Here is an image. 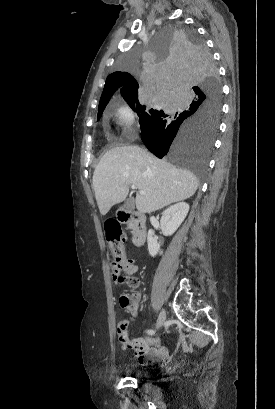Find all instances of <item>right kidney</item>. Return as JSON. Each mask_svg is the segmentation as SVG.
Wrapping results in <instances>:
<instances>
[{"mask_svg":"<svg viewBox=\"0 0 275 409\" xmlns=\"http://www.w3.org/2000/svg\"><path fill=\"white\" fill-rule=\"evenodd\" d=\"M188 211L189 205H187V202H176V205H172L162 213L160 229L165 237H170L177 231L185 217H187ZM153 235L154 231L150 229L147 235L148 251L151 257H156L158 253L162 255L163 251H161L160 245Z\"/></svg>","mask_w":275,"mask_h":409,"instance_id":"obj_1","label":"right kidney"}]
</instances>
